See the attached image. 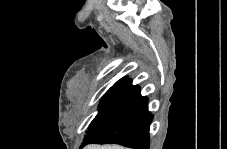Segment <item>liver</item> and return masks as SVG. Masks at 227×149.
<instances>
[{"label": "liver", "mask_w": 227, "mask_h": 149, "mask_svg": "<svg viewBox=\"0 0 227 149\" xmlns=\"http://www.w3.org/2000/svg\"><path fill=\"white\" fill-rule=\"evenodd\" d=\"M86 149H123L121 146L117 145H89L86 147Z\"/></svg>", "instance_id": "6515ba94"}]
</instances>
